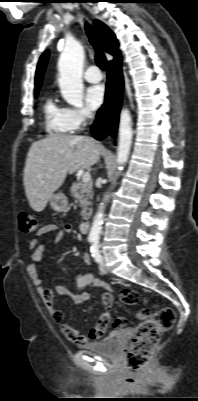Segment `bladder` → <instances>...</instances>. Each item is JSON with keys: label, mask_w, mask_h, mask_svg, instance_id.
Masks as SVG:
<instances>
[{"label": "bladder", "mask_w": 198, "mask_h": 401, "mask_svg": "<svg viewBox=\"0 0 198 401\" xmlns=\"http://www.w3.org/2000/svg\"><path fill=\"white\" fill-rule=\"evenodd\" d=\"M88 352L96 355H103L116 358L120 354V345L117 339V332H112L100 341L89 343L84 346Z\"/></svg>", "instance_id": "1"}]
</instances>
